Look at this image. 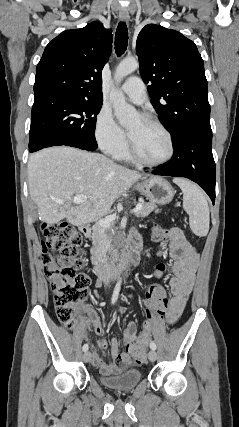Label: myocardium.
<instances>
[{"label": "myocardium", "instance_id": "1", "mask_svg": "<svg viewBox=\"0 0 239 427\" xmlns=\"http://www.w3.org/2000/svg\"><path fill=\"white\" fill-rule=\"evenodd\" d=\"M139 116L145 122L150 123V124L156 126L157 128H159L166 135L168 142H169V153L164 159H162L160 161H156V162L148 161L139 155V153L137 152L130 136L127 134L126 146H127V151H128L130 158L133 161H135L141 165L147 166V167H159V166L167 164L169 161L172 160V158L175 155V142H174V138H173L172 133L169 131V129L164 124H162L155 117H153L149 114H146V113L140 114Z\"/></svg>", "mask_w": 239, "mask_h": 427}]
</instances>
